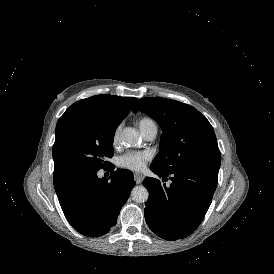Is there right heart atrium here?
Returning <instances> with one entry per match:
<instances>
[{"instance_id":"d8ad5b80","label":"right heart atrium","mask_w":274,"mask_h":274,"mask_svg":"<svg viewBox=\"0 0 274 274\" xmlns=\"http://www.w3.org/2000/svg\"><path fill=\"white\" fill-rule=\"evenodd\" d=\"M118 140H119V135H118V133H115V135L113 137V145H116Z\"/></svg>"}]
</instances>
